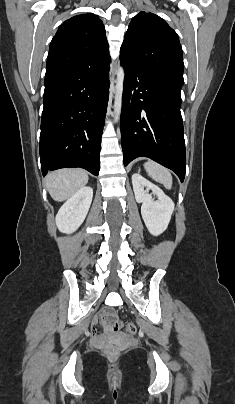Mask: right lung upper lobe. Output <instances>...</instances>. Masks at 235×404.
<instances>
[{
    "instance_id": "right-lung-upper-lobe-1",
    "label": "right lung upper lobe",
    "mask_w": 235,
    "mask_h": 404,
    "mask_svg": "<svg viewBox=\"0 0 235 404\" xmlns=\"http://www.w3.org/2000/svg\"><path fill=\"white\" fill-rule=\"evenodd\" d=\"M110 60L102 21L94 14H81L59 26L50 44L45 76L97 67Z\"/></svg>"
}]
</instances>
